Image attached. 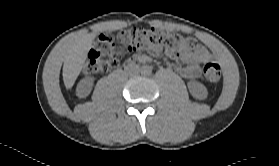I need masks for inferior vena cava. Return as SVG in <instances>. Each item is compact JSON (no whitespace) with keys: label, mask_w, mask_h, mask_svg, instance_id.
Returning <instances> with one entry per match:
<instances>
[{"label":"inferior vena cava","mask_w":279,"mask_h":166,"mask_svg":"<svg viewBox=\"0 0 279 166\" xmlns=\"http://www.w3.org/2000/svg\"><path fill=\"white\" fill-rule=\"evenodd\" d=\"M130 73H131V74H136V73H137V71H135V70H134V71H133V70H131V71H130Z\"/></svg>","instance_id":"1"}]
</instances>
